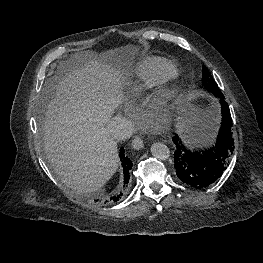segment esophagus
<instances>
[{
    "instance_id": "1",
    "label": "esophagus",
    "mask_w": 263,
    "mask_h": 263,
    "mask_svg": "<svg viewBox=\"0 0 263 263\" xmlns=\"http://www.w3.org/2000/svg\"><path fill=\"white\" fill-rule=\"evenodd\" d=\"M132 146L135 150H140L143 148V140L140 136H136L134 140L132 141Z\"/></svg>"
}]
</instances>
